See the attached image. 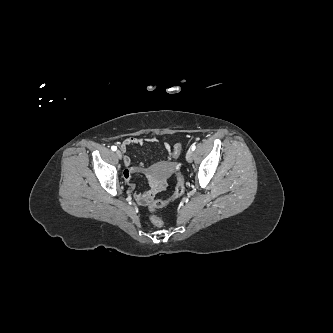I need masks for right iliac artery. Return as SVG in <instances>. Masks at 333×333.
Segmentation results:
<instances>
[{"mask_svg": "<svg viewBox=\"0 0 333 333\" xmlns=\"http://www.w3.org/2000/svg\"><path fill=\"white\" fill-rule=\"evenodd\" d=\"M111 149H112L113 151H115L117 148H116V146H112Z\"/></svg>", "mask_w": 333, "mask_h": 333, "instance_id": "1", "label": "right iliac artery"}]
</instances>
